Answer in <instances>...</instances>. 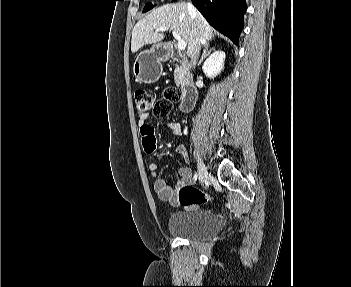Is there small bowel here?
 Instances as JSON below:
<instances>
[{"instance_id": "1", "label": "small bowel", "mask_w": 351, "mask_h": 287, "mask_svg": "<svg viewBox=\"0 0 351 287\" xmlns=\"http://www.w3.org/2000/svg\"><path fill=\"white\" fill-rule=\"evenodd\" d=\"M149 114H143L138 119V125L140 126L141 142H142V155L143 156H155L156 149L160 148V143L156 142V132H154V126L151 122H147ZM166 128L174 135L180 136L183 134V128L178 122H169L166 124ZM177 154L182 158L184 162H188V153L184 144H178L176 146ZM148 169L153 177H156L157 164L154 162L149 163ZM179 175L181 178L177 180L176 187L172 188L163 179H155L154 189L158 197L163 201H168L174 206L179 205L177 191L182 187L191 182V169L187 166L179 168Z\"/></svg>"}]
</instances>
